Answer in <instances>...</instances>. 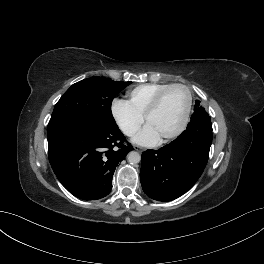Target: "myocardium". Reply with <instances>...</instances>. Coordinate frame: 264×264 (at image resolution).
<instances>
[{"label": "myocardium", "mask_w": 264, "mask_h": 264, "mask_svg": "<svg viewBox=\"0 0 264 264\" xmlns=\"http://www.w3.org/2000/svg\"><path fill=\"white\" fill-rule=\"evenodd\" d=\"M173 88L183 89L186 92L187 100H186L183 116L179 125L172 132L162 136L161 139L163 141L177 137L179 134L182 133V131L185 129L188 123L191 106H192V95L189 88L186 85L180 83L169 84L168 86H166L156 94V96L153 98V100L151 101V103L149 104V106L147 107L144 113V119L146 122H148L149 117L158 109L166 93Z\"/></svg>", "instance_id": "obj_1"}]
</instances>
